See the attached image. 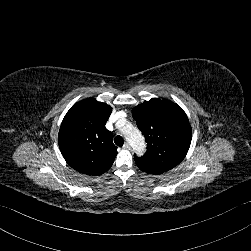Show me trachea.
<instances>
[{
  "label": "trachea",
  "instance_id": "obj_1",
  "mask_svg": "<svg viewBox=\"0 0 251 251\" xmlns=\"http://www.w3.org/2000/svg\"><path fill=\"white\" fill-rule=\"evenodd\" d=\"M114 142H115V144L117 145V146H123V144H124V139L121 137V136H116L115 138H114Z\"/></svg>",
  "mask_w": 251,
  "mask_h": 251
}]
</instances>
